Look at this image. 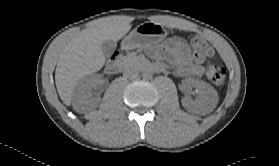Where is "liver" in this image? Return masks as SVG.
Listing matches in <instances>:
<instances>
[{
  "label": "liver",
  "instance_id": "6515ba94",
  "mask_svg": "<svg viewBox=\"0 0 279 166\" xmlns=\"http://www.w3.org/2000/svg\"><path fill=\"white\" fill-rule=\"evenodd\" d=\"M130 29L131 25L124 16L103 18L92 27L83 29L63 47L55 82L64 104H71L73 90L80 80L103 67L105 57L101 44L109 39L120 40Z\"/></svg>",
  "mask_w": 279,
  "mask_h": 166
}]
</instances>
